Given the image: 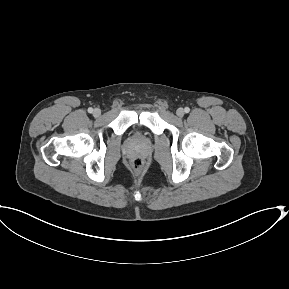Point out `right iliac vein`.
<instances>
[{"label":"right iliac vein","mask_w":289,"mask_h":289,"mask_svg":"<svg viewBox=\"0 0 289 289\" xmlns=\"http://www.w3.org/2000/svg\"><path fill=\"white\" fill-rule=\"evenodd\" d=\"M93 115H94L95 117H99V116L101 115V110L98 109V108L94 109Z\"/></svg>","instance_id":"1"}]
</instances>
